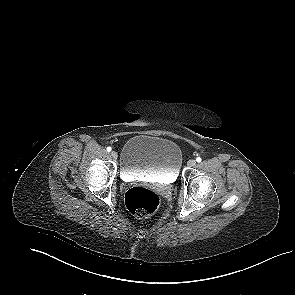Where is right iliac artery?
Returning a JSON list of instances; mask_svg holds the SVG:
<instances>
[{
    "instance_id": "1",
    "label": "right iliac artery",
    "mask_w": 295,
    "mask_h": 295,
    "mask_svg": "<svg viewBox=\"0 0 295 295\" xmlns=\"http://www.w3.org/2000/svg\"><path fill=\"white\" fill-rule=\"evenodd\" d=\"M107 151L110 152L111 151V147H107Z\"/></svg>"
}]
</instances>
